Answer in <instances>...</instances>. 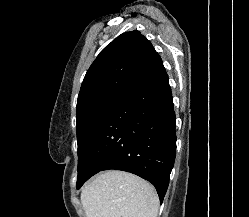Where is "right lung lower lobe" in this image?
I'll return each instance as SVG.
<instances>
[{"instance_id":"1","label":"right lung lower lobe","mask_w":249,"mask_h":217,"mask_svg":"<svg viewBox=\"0 0 249 217\" xmlns=\"http://www.w3.org/2000/svg\"><path fill=\"white\" fill-rule=\"evenodd\" d=\"M176 120L162 61L124 93L95 131L78 166L77 189L109 169L136 174L165 196L176 154Z\"/></svg>"}]
</instances>
